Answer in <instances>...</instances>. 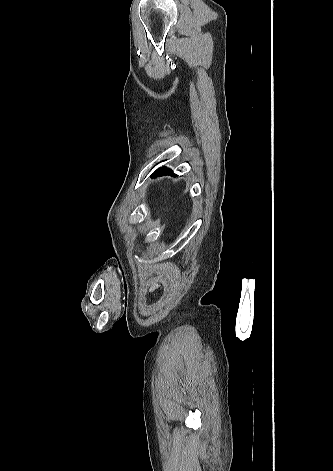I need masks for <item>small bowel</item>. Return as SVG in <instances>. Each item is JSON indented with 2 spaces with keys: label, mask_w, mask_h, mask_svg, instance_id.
Instances as JSON below:
<instances>
[{
  "label": "small bowel",
  "mask_w": 333,
  "mask_h": 471,
  "mask_svg": "<svg viewBox=\"0 0 333 471\" xmlns=\"http://www.w3.org/2000/svg\"><path fill=\"white\" fill-rule=\"evenodd\" d=\"M157 286H158V284H157V283H154V284L152 285L151 289H155Z\"/></svg>",
  "instance_id": "small-bowel-1"
}]
</instances>
